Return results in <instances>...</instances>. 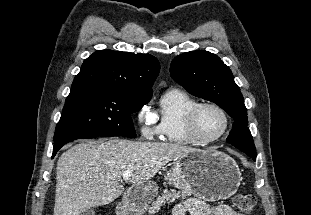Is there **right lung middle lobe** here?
<instances>
[{
    "label": "right lung middle lobe",
    "mask_w": 311,
    "mask_h": 215,
    "mask_svg": "<svg viewBox=\"0 0 311 215\" xmlns=\"http://www.w3.org/2000/svg\"><path fill=\"white\" fill-rule=\"evenodd\" d=\"M150 99L96 87L72 88L55 129L54 143L100 136L134 138L131 114Z\"/></svg>",
    "instance_id": "right-lung-middle-lobe-1"
}]
</instances>
